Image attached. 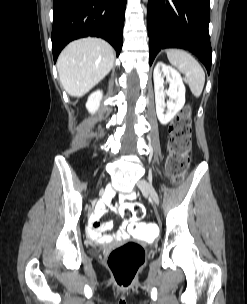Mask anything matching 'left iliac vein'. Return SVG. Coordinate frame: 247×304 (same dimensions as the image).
<instances>
[{
  "label": "left iliac vein",
  "mask_w": 247,
  "mask_h": 304,
  "mask_svg": "<svg viewBox=\"0 0 247 304\" xmlns=\"http://www.w3.org/2000/svg\"><path fill=\"white\" fill-rule=\"evenodd\" d=\"M137 186L143 191L146 192L151 198L152 200L155 202V204H159V197L158 194L155 190V188L153 187V185L149 182H147L144 179H141L138 181Z\"/></svg>",
  "instance_id": "1"
}]
</instances>
